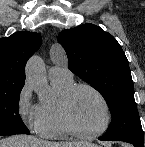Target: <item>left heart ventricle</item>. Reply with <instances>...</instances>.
I'll return each mask as SVG.
<instances>
[{
	"label": "left heart ventricle",
	"mask_w": 145,
	"mask_h": 147,
	"mask_svg": "<svg viewBox=\"0 0 145 147\" xmlns=\"http://www.w3.org/2000/svg\"><path fill=\"white\" fill-rule=\"evenodd\" d=\"M72 115L77 125L87 132L99 130L105 123V108L89 90H81L72 102Z\"/></svg>",
	"instance_id": "b2bd125f"
}]
</instances>
